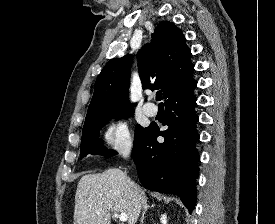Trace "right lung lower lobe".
<instances>
[{
    "instance_id": "1",
    "label": "right lung lower lobe",
    "mask_w": 275,
    "mask_h": 224,
    "mask_svg": "<svg viewBox=\"0 0 275 224\" xmlns=\"http://www.w3.org/2000/svg\"><path fill=\"white\" fill-rule=\"evenodd\" d=\"M197 82L192 78L165 101L168 125L159 131L150 125L134 141L133 158L142 185L152 191L178 195L191 213L196 204L195 180L200 156L196 149L199 134L195 129L198 115L193 94ZM164 137L159 143L157 137Z\"/></svg>"
}]
</instances>
